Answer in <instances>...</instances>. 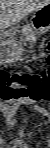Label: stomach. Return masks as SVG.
<instances>
[{
    "mask_svg": "<svg viewBox=\"0 0 50 148\" xmlns=\"http://www.w3.org/2000/svg\"><path fill=\"white\" fill-rule=\"evenodd\" d=\"M30 26L37 35L46 33L50 29V5L47 4L36 10L30 20ZM23 55V49L16 44H8L5 48L2 61L12 63Z\"/></svg>",
    "mask_w": 50,
    "mask_h": 148,
    "instance_id": "0dacf381",
    "label": "stomach"
}]
</instances>
